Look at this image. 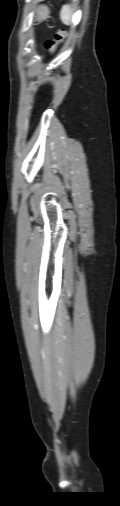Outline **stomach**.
Here are the masks:
<instances>
[{"label": "stomach", "instance_id": "stomach-1", "mask_svg": "<svg viewBox=\"0 0 120 506\" xmlns=\"http://www.w3.org/2000/svg\"><path fill=\"white\" fill-rule=\"evenodd\" d=\"M49 8L46 5H40L37 8L36 19L39 21L45 20L49 17Z\"/></svg>", "mask_w": 120, "mask_h": 506}]
</instances>
